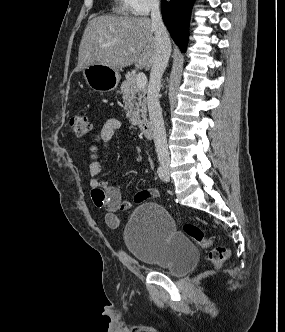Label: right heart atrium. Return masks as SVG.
I'll list each match as a JSON object with an SVG mask.
<instances>
[{
  "label": "right heart atrium",
  "instance_id": "1",
  "mask_svg": "<svg viewBox=\"0 0 285 332\" xmlns=\"http://www.w3.org/2000/svg\"><path fill=\"white\" fill-rule=\"evenodd\" d=\"M129 10L139 16L147 15L151 10L157 8L160 0H126Z\"/></svg>",
  "mask_w": 285,
  "mask_h": 332
}]
</instances>
